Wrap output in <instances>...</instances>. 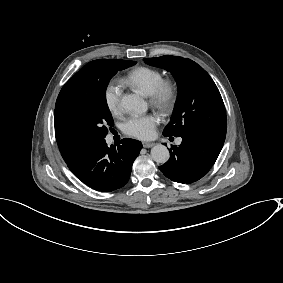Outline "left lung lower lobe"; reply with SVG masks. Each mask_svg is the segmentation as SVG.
Instances as JSON below:
<instances>
[{
  "mask_svg": "<svg viewBox=\"0 0 283 283\" xmlns=\"http://www.w3.org/2000/svg\"><path fill=\"white\" fill-rule=\"evenodd\" d=\"M180 137L182 143L178 147L172 146L169 160L159 169L170 180L189 184L201 179L210 170L225 138L194 134Z\"/></svg>",
  "mask_w": 283,
  "mask_h": 283,
  "instance_id": "left-lung-lower-lobe-1",
  "label": "left lung lower lobe"
}]
</instances>
